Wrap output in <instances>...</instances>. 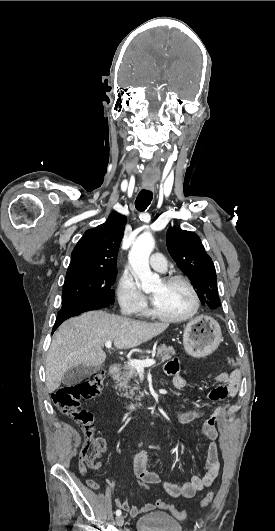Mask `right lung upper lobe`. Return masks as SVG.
I'll return each instance as SVG.
<instances>
[{
	"instance_id": "1",
	"label": "right lung upper lobe",
	"mask_w": 275,
	"mask_h": 531,
	"mask_svg": "<svg viewBox=\"0 0 275 531\" xmlns=\"http://www.w3.org/2000/svg\"><path fill=\"white\" fill-rule=\"evenodd\" d=\"M127 219L112 212L106 222L87 230L71 254L67 273L82 270H116L118 248Z\"/></svg>"
}]
</instances>
